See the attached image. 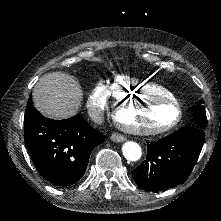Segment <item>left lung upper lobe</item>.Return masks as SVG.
<instances>
[{"label":"left lung upper lobe","instance_id":"left-lung-upper-lobe-1","mask_svg":"<svg viewBox=\"0 0 221 221\" xmlns=\"http://www.w3.org/2000/svg\"><path fill=\"white\" fill-rule=\"evenodd\" d=\"M202 100L198 102V105L193 107V111L195 113V121L201 126L205 127L207 125V118H206V112L205 107L202 105Z\"/></svg>","mask_w":221,"mask_h":221}]
</instances>
